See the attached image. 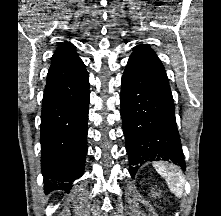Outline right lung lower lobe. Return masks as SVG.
I'll return each instance as SVG.
<instances>
[{"label":"right lung lower lobe","mask_w":221,"mask_h":216,"mask_svg":"<svg viewBox=\"0 0 221 216\" xmlns=\"http://www.w3.org/2000/svg\"><path fill=\"white\" fill-rule=\"evenodd\" d=\"M89 99L86 69L45 89L40 143L46 192L69 191L84 171Z\"/></svg>","instance_id":"right-lung-lower-lobe-1"}]
</instances>
